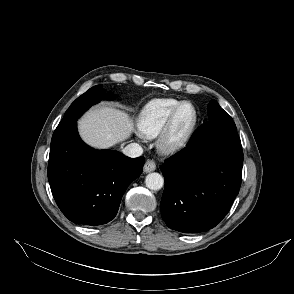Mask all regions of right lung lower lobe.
Instances as JSON below:
<instances>
[{"label": "right lung lower lobe", "instance_id": "1", "mask_svg": "<svg viewBox=\"0 0 294 294\" xmlns=\"http://www.w3.org/2000/svg\"><path fill=\"white\" fill-rule=\"evenodd\" d=\"M91 102L101 96V85L87 91ZM144 158H128L115 150H95L79 137L77 122L58 125L53 133L48 180L62 213L72 222L96 226L117 214L121 198L142 172Z\"/></svg>", "mask_w": 294, "mask_h": 294}]
</instances>
